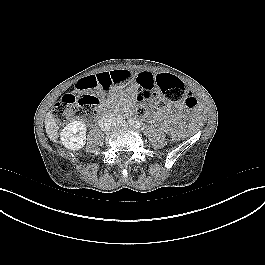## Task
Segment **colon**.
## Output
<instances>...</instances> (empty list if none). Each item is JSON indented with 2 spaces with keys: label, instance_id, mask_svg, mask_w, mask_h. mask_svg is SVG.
<instances>
[{
  "label": "colon",
  "instance_id": "5ec220e1",
  "mask_svg": "<svg viewBox=\"0 0 265 265\" xmlns=\"http://www.w3.org/2000/svg\"><path fill=\"white\" fill-rule=\"evenodd\" d=\"M154 82L161 96L153 93L151 88H143L138 94L140 104L137 113L140 116L146 115L151 107L161 106L164 100L183 103L184 108L190 112L199 108V99L191 95L185 84L176 76L161 72L155 76ZM110 87L111 82L104 76H88L80 79L75 85L79 94H66L54 105L52 109L54 120L62 123L70 118H94L101 99L98 90Z\"/></svg>",
  "mask_w": 265,
  "mask_h": 265
}]
</instances>
